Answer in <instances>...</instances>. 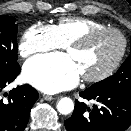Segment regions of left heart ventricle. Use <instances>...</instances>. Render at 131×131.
Listing matches in <instances>:
<instances>
[{"label": "left heart ventricle", "mask_w": 131, "mask_h": 131, "mask_svg": "<svg viewBox=\"0 0 131 131\" xmlns=\"http://www.w3.org/2000/svg\"><path fill=\"white\" fill-rule=\"evenodd\" d=\"M121 49L120 38L113 33H103L92 38L85 46L67 49L82 75L101 73L114 61Z\"/></svg>", "instance_id": "obj_1"}]
</instances>
